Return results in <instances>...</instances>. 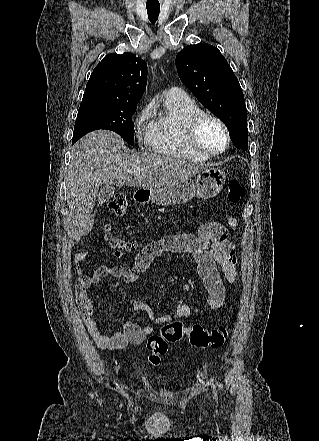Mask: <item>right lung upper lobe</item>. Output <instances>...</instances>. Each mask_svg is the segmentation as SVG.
<instances>
[{
    "label": "right lung upper lobe",
    "mask_w": 319,
    "mask_h": 441,
    "mask_svg": "<svg viewBox=\"0 0 319 441\" xmlns=\"http://www.w3.org/2000/svg\"><path fill=\"white\" fill-rule=\"evenodd\" d=\"M147 64L130 53L108 54L93 70L82 101L137 104L146 88Z\"/></svg>",
    "instance_id": "1"
}]
</instances>
